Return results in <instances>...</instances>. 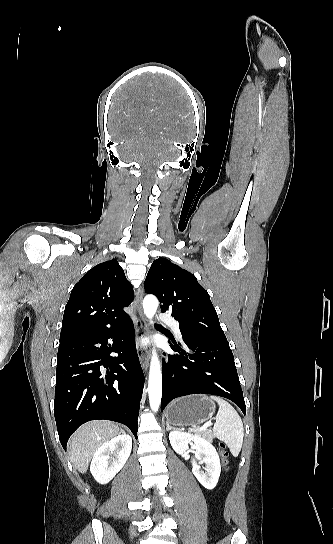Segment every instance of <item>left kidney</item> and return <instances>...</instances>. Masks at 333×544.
I'll use <instances>...</instances> for the list:
<instances>
[{
	"mask_svg": "<svg viewBox=\"0 0 333 544\" xmlns=\"http://www.w3.org/2000/svg\"><path fill=\"white\" fill-rule=\"evenodd\" d=\"M169 440L172 448L178 454H183L188 450V444L192 441L195 445V458L198 460L192 462V471L198 481L206 488L213 489L218 482L221 465L219 455L210 441L205 438L185 433L173 431L169 434ZM205 463V472L202 471L199 464Z\"/></svg>",
	"mask_w": 333,
	"mask_h": 544,
	"instance_id": "left-kidney-1",
	"label": "left kidney"
}]
</instances>
